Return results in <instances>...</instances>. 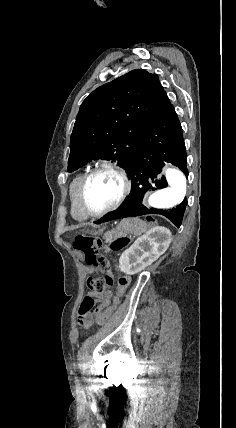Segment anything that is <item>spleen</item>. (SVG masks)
<instances>
[{
    "mask_svg": "<svg viewBox=\"0 0 236 428\" xmlns=\"http://www.w3.org/2000/svg\"><path fill=\"white\" fill-rule=\"evenodd\" d=\"M118 230L126 232V234H133V236H141V234L147 232V224L139 220V218H124L120 222Z\"/></svg>",
    "mask_w": 236,
    "mask_h": 428,
    "instance_id": "spleen-1",
    "label": "spleen"
}]
</instances>
